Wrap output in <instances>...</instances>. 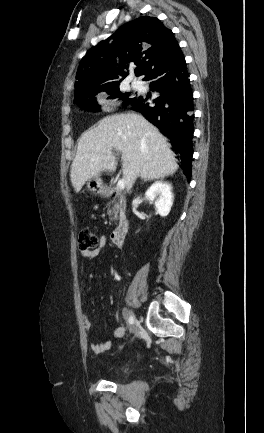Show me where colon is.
<instances>
[{"mask_svg": "<svg viewBox=\"0 0 264 433\" xmlns=\"http://www.w3.org/2000/svg\"><path fill=\"white\" fill-rule=\"evenodd\" d=\"M99 242V237L90 229H83L79 233L78 248L81 252L94 249Z\"/></svg>", "mask_w": 264, "mask_h": 433, "instance_id": "obj_1", "label": "colon"}]
</instances>
